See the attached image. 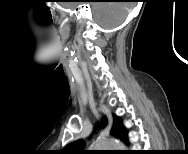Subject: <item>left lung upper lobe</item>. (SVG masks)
I'll list each match as a JSON object with an SVG mask.
<instances>
[{
  "label": "left lung upper lobe",
  "instance_id": "1",
  "mask_svg": "<svg viewBox=\"0 0 188 154\" xmlns=\"http://www.w3.org/2000/svg\"><path fill=\"white\" fill-rule=\"evenodd\" d=\"M113 120H114L113 127L111 129L110 134L123 141V139L126 135V130L123 126V123L117 115H113ZM106 124H107V122H106V120H104L103 125H106ZM84 145H85V142L83 140H77V141H74V142L68 144L64 148V150L68 154H85L86 151H84V149H83Z\"/></svg>",
  "mask_w": 188,
  "mask_h": 154
}]
</instances>
